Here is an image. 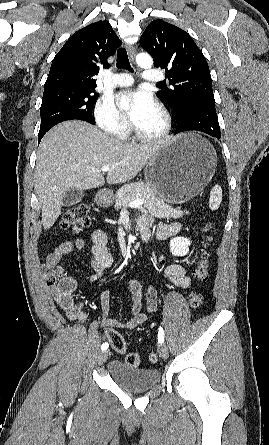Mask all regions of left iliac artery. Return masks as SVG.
I'll return each mask as SVG.
<instances>
[{
	"mask_svg": "<svg viewBox=\"0 0 269 445\" xmlns=\"http://www.w3.org/2000/svg\"><path fill=\"white\" fill-rule=\"evenodd\" d=\"M163 341H164V330L162 327H160L158 331V342L162 344Z\"/></svg>",
	"mask_w": 269,
	"mask_h": 445,
	"instance_id": "44dca946",
	"label": "left iliac artery"
}]
</instances>
